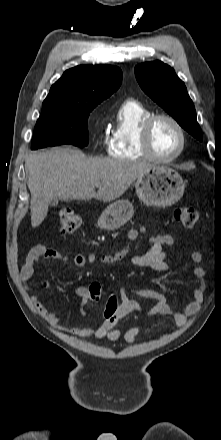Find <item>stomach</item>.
Segmentation results:
<instances>
[{
    "mask_svg": "<svg viewBox=\"0 0 221 440\" xmlns=\"http://www.w3.org/2000/svg\"><path fill=\"white\" fill-rule=\"evenodd\" d=\"M138 198L147 205L166 207L183 196L185 183L175 170L167 166H154L140 176L135 183ZM133 205L126 199L111 203L98 219V227L115 230L123 226L132 216Z\"/></svg>",
    "mask_w": 221,
    "mask_h": 440,
    "instance_id": "1",
    "label": "stomach"
}]
</instances>
